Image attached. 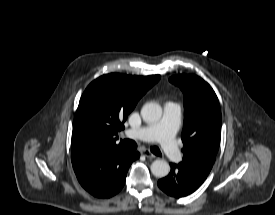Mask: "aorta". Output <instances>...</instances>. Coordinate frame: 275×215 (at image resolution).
<instances>
[{
    "label": "aorta",
    "mask_w": 275,
    "mask_h": 215,
    "mask_svg": "<svg viewBox=\"0 0 275 215\" xmlns=\"http://www.w3.org/2000/svg\"><path fill=\"white\" fill-rule=\"evenodd\" d=\"M141 116L147 123H156L162 116V108L158 103H146L141 109ZM151 172L158 178L165 177L170 172V166L165 160H155L151 164Z\"/></svg>",
    "instance_id": "762f6f07"
}]
</instances>
